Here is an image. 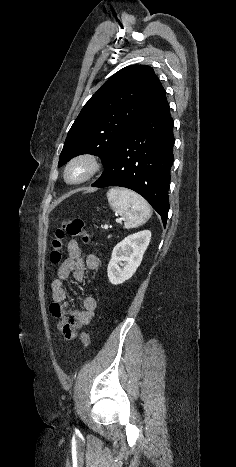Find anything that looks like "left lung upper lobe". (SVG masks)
I'll use <instances>...</instances> for the list:
<instances>
[{
  "mask_svg": "<svg viewBox=\"0 0 236 467\" xmlns=\"http://www.w3.org/2000/svg\"><path fill=\"white\" fill-rule=\"evenodd\" d=\"M166 93L149 66H127L111 76L85 104L70 128L58 167L80 154H93L104 166L122 137Z\"/></svg>",
  "mask_w": 236,
  "mask_h": 467,
  "instance_id": "left-lung-upper-lobe-1",
  "label": "left lung upper lobe"
}]
</instances>
